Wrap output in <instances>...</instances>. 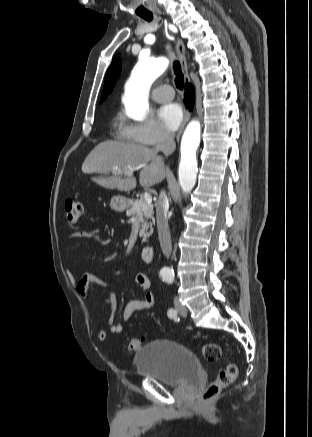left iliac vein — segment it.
I'll list each match as a JSON object with an SVG mask.
<instances>
[{"instance_id":"1","label":"left iliac vein","mask_w":312,"mask_h":437,"mask_svg":"<svg viewBox=\"0 0 312 437\" xmlns=\"http://www.w3.org/2000/svg\"><path fill=\"white\" fill-rule=\"evenodd\" d=\"M174 305H175V308H176L177 312L181 316H184V317L187 316V308L180 303L178 297L174 298Z\"/></svg>"}]
</instances>
